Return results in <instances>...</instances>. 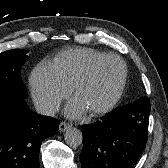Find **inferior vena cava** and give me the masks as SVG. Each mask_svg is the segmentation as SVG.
<instances>
[{"instance_id":"inferior-vena-cava-1","label":"inferior vena cava","mask_w":168,"mask_h":168,"mask_svg":"<svg viewBox=\"0 0 168 168\" xmlns=\"http://www.w3.org/2000/svg\"><path fill=\"white\" fill-rule=\"evenodd\" d=\"M37 113L45 116H54L58 111V105L53 102H40L35 104Z\"/></svg>"}]
</instances>
